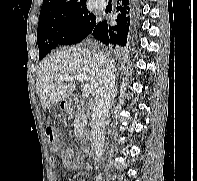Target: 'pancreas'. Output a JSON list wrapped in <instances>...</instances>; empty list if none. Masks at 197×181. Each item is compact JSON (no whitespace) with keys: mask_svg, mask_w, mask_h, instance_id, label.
<instances>
[{"mask_svg":"<svg viewBox=\"0 0 197 181\" xmlns=\"http://www.w3.org/2000/svg\"><path fill=\"white\" fill-rule=\"evenodd\" d=\"M74 134L77 138L89 139V130L87 129V115L84 111L77 112L74 118Z\"/></svg>","mask_w":197,"mask_h":181,"instance_id":"pancreas-1","label":"pancreas"}]
</instances>
